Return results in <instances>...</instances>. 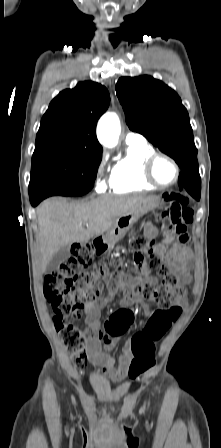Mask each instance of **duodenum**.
I'll use <instances>...</instances> for the list:
<instances>
[{"label":"duodenum","mask_w":221,"mask_h":448,"mask_svg":"<svg viewBox=\"0 0 221 448\" xmlns=\"http://www.w3.org/2000/svg\"><path fill=\"white\" fill-rule=\"evenodd\" d=\"M94 251L96 254L101 255L107 249V243L102 238H97L94 243Z\"/></svg>","instance_id":"1"}]
</instances>
